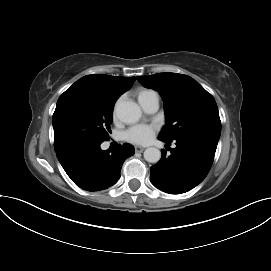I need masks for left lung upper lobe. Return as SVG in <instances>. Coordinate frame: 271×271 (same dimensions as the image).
Listing matches in <instances>:
<instances>
[{
    "mask_svg": "<svg viewBox=\"0 0 271 271\" xmlns=\"http://www.w3.org/2000/svg\"><path fill=\"white\" fill-rule=\"evenodd\" d=\"M163 98L166 126L159 138L173 141L187 135L219 139L221 121L213 96L193 78L183 74L159 73L137 77Z\"/></svg>",
    "mask_w": 271,
    "mask_h": 271,
    "instance_id": "left-lung-upper-lobe-1",
    "label": "left lung upper lobe"
}]
</instances>
